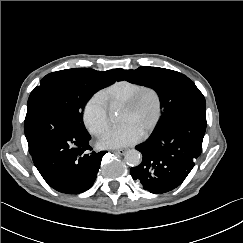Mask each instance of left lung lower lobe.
I'll list each match as a JSON object with an SVG mask.
<instances>
[{
    "label": "left lung lower lobe",
    "instance_id": "left-lung-lower-lobe-1",
    "mask_svg": "<svg viewBox=\"0 0 243 243\" xmlns=\"http://www.w3.org/2000/svg\"><path fill=\"white\" fill-rule=\"evenodd\" d=\"M206 103L180 110L165 126L135 148L142 153L140 165L130 174L151 193H165L178 187L202 152L206 131Z\"/></svg>",
    "mask_w": 243,
    "mask_h": 243
}]
</instances>
